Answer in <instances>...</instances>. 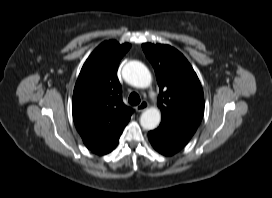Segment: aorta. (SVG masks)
<instances>
[{
  "instance_id": "aorta-1",
  "label": "aorta",
  "mask_w": 272,
  "mask_h": 198,
  "mask_svg": "<svg viewBox=\"0 0 272 198\" xmlns=\"http://www.w3.org/2000/svg\"><path fill=\"white\" fill-rule=\"evenodd\" d=\"M123 78L132 86L138 88H147L152 82V76L149 69L139 61H130L123 67ZM161 121V113L151 107L145 110L140 117V124L146 130L155 129Z\"/></svg>"
}]
</instances>
